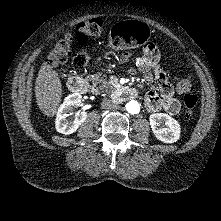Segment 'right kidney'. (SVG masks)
<instances>
[{
    "label": "right kidney",
    "mask_w": 221,
    "mask_h": 221,
    "mask_svg": "<svg viewBox=\"0 0 221 221\" xmlns=\"http://www.w3.org/2000/svg\"><path fill=\"white\" fill-rule=\"evenodd\" d=\"M82 96L78 93L70 94L65 97L63 104L60 105L55 119V128L57 132L69 135L77 131L79 126L87 119V112L77 113L74 120L68 117L73 114V110L81 106Z\"/></svg>",
    "instance_id": "1"
}]
</instances>
